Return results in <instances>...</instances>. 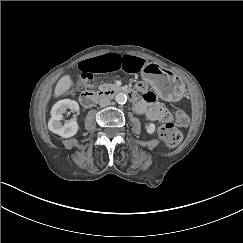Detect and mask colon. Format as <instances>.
<instances>
[{
	"label": "colon",
	"mask_w": 243,
	"mask_h": 243,
	"mask_svg": "<svg viewBox=\"0 0 243 243\" xmlns=\"http://www.w3.org/2000/svg\"><path fill=\"white\" fill-rule=\"evenodd\" d=\"M78 84L84 88H91L95 85V79L92 75H83ZM188 121L189 119L185 112L176 110L174 112L173 120L164 123L158 128V135L168 146H176L182 140L180 127L186 126Z\"/></svg>",
	"instance_id": "5ec220e1"
}]
</instances>
